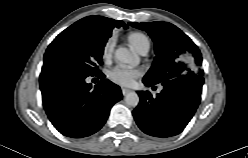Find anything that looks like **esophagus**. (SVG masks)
Here are the masks:
<instances>
[{"instance_id": "34e87169", "label": "esophagus", "mask_w": 248, "mask_h": 158, "mask_svg": "<svg viewBox=\"0 0 248 158\" xmlns=\"http://www.w3.org/2000/svg\"><path fill=\"white\" fill-rule=\"evenodd\" d=\"M121 91H122V94L125 96V95H127L128 93H130L131 92V89H128V88H121Z\"/></svg>"}]
</instances>
